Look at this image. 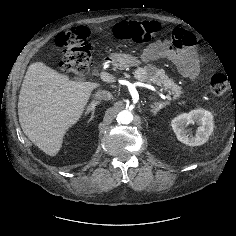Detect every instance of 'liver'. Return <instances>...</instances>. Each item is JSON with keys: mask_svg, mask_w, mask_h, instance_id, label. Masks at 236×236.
Listing matches in <instances>:
<instances>
[{"mask_svg": "<svg viewBox=\"0 0 236 236\" xmlns=\"http://www.w3.org/2000/svg\"><path fill=\"white\" fill-rule=\"evenodd\" d=\"M98 86L99 83L73 81L42 62H32L18 100L23 132L43 152L57 155L65 134L79 121Z\"/></svg>", "mask_w": 236, "mask_h": 236, "instance_id": "6515ba94", "label": "liver"}]
</instances>
